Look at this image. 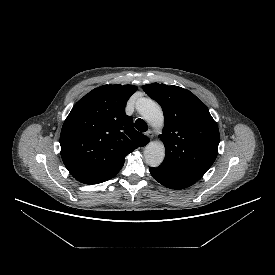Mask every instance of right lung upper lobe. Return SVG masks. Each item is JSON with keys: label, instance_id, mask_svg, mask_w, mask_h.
I'll return each mask as SVG.
<instances>
[{"label": "right lung upper lobe", "instance_id": "right-lung-upper-lobe-1", "mask_svg": "<svg viewBox=\"0 0 275 275\" xmlns=\"http://www.w3.org/2000/svg\"><path fill=\"white\" fill-rule=\"evenodd\" d=\"M136 90L134 85H103L73 106L62 126L60 146L64 165L79 182L98 184L113 178L125 156L149 142L125 114Z\"/></svg>", "mask_w": 275, "mask_h": 275}]
</instances>
